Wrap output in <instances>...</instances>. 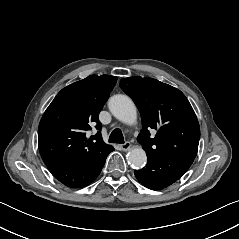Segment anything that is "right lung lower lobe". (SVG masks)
<instances>
[{"label":"right lung lower lobe","instance_id":"1","mask_svg":"<svg viewBox=\"0 0 239 239\" xmlns=\"http://www.w3.org/2000/svg\"><path fill=\"white\" fill-rule=\"evenodd\" d=\"M114 148L110 146L91 160L78 163H58L47 165L52 175L64 185L82 188L92 183L100 174L106 157Z\"/></svg>","mask_w":239,"mask_h":239}]
</instances>
